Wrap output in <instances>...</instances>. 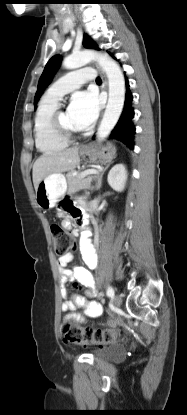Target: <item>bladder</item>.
<instances>
[{
	"label": "bladder",
	"instance_id": "1",
	"mask_svg": "<svg viewBox=\"0 0 187 415\" xmlns=\"http://www.w3.org/2000/svg\"><path fill=\"white\" fill-rule=\"evenodd\" d=\"M91 354L102 360H116L120 359L125 354V346L122 343H110L101 348H96L91 351Z\"/></svg>",
	"mask_w": 187,
	"mask_h": 415
}]
</instances>
